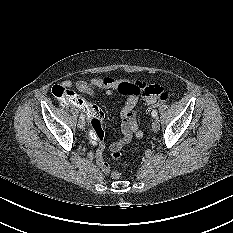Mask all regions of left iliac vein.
<instances>
[{"label": "left iliac vein", "instance_id": "left-iliac-vein-1", "mask_svg": "<svg viewBox=\"0 0 233 233\" xmlns=\"http://www.w3.org/2000/svg\"><path fill=\"white\" fill-rule=\"evenodd\" d=\"M152 129L154 132H157L160 129L159 120L157 118H155L152 122Z\"/></svg>", "mask_w": 233, "mask_h": 233}]
</instances>
